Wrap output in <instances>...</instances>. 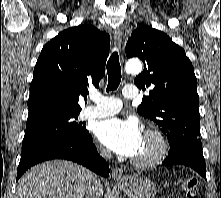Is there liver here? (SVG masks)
I'll return each mask as SVG.
<instances>
[{
    "mask_svg": "<svg viewBox=\"0 0 221 198\" xmlns=\"http://www.w3.org/2000/svg\"><path fill=\"white\" fill-rule=\"evenodd\" d=\"M85 167L63 160H53L30 168L18 181L16 198H94L88 191ZM103 186L95 198H101Z\"/></svg>",
    "mask_w": 221,
    "mask_h": 198,
    "instance_id": "6515ba94",
    "label": "liver"
}]
</instances>
